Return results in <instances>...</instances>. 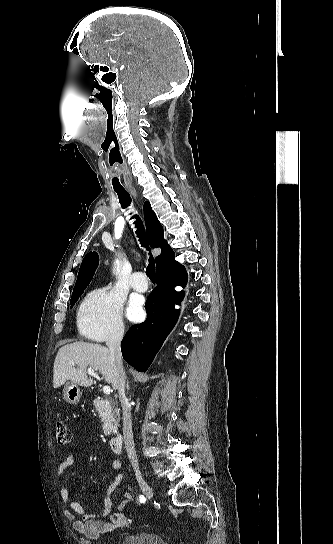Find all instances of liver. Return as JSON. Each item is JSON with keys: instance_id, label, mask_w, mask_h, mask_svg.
Wrapping results in <instances>:
<instances>
[{"instance_id": "1", "label": "liver", "mask_w": 333, "mask_h": 544, "mask_svg": "<svg viewBox=\"0 0 333 544\" xmlns=\"http://www.w3.org/2000/svg\"><path fill=\"white\" fill-rule=\"evenodd\" d=\"M72 363L77 367L71 366ZM88 367L94 372H100L114 390L118 388L117 366L110 350L97 343L82 341L64 345L59 349L54 362L53 387L58 388L68 380L90 387L93 379L87 375Z\"/></svg>"}]
</instances>
